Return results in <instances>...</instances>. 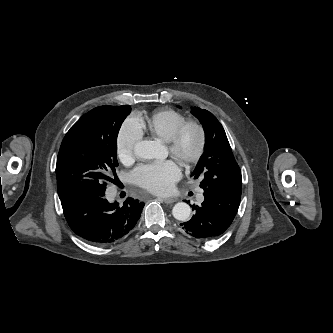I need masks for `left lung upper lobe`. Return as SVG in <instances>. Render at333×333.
Returning <instances> with one entry per match:
<instances>
[{
    "instance_id": "5c2ea615",
    "label": "left lung upper lobe",
    "mask_w": 333,
    "mask_h": 333,
    "mask_svg": "<svg viewBox=\"0 0 333 333\" xmlns=\"http://www.w3.org/2000/svg\"><path fill=\"white\" fill-rule=\"evenodd\" d=\"M205 132L204 153L192 175L201 176V188L221 191L241 190V171L236 163L226 133L217 118L205 109L192 108Z\"/></svg>"
}]
</instances>
